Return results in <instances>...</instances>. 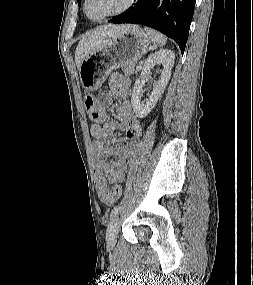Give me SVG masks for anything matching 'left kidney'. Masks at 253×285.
I'll list each match as a JSON object with an SVG mask.
<instances>
[{
  "mask_svg": "<svg viewBox=\"0 0 253 285\" xmlns=\"http://www.w3.org/2000/svg\"><path fill=\"white\" fill-rule=\"evenodd\" d=\"M174 60L175 55L173 51L161 49L158 52L151 54L145 61L140 77L135 81L132 90L131 103L137 117H146L157 104L171 77ZM156 64L163 66L161 76L159 80L154 83L153 91L149 98L145 101H141L145 80L149 77L151 69H153Z\"/></svg>",
  "mask_w": 253,
  "mask_h": 285,
  "instance_id": "1",
  "label": "left kidney"
}]
</instances>
